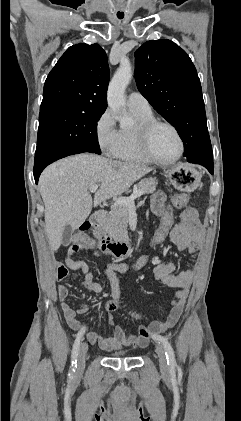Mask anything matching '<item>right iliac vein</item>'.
Listing matches in <instances>:
<instances>
[{
    "instance_id": "63e3f726",
    "label": "right iliac vein",
    "mask_w": 241,
    "mask_h": 421,
    "mask_svg": "<svg viewBox=\"0 0 241 421\" xmlns=\"http://www.w3.org/2000/svg\"><path fill=\"white\" fill-rule=\"evenodd\" d=\"M87 352H88V344L84 342L82 343L79 349V354H78V368H77L78 373H82L85 369Z\"/></svg>"
}]
</instances>
